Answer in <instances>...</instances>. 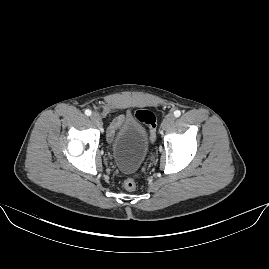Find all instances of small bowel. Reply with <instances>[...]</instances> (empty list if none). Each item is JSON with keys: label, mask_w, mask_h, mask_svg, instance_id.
Listing matches in <instances>:
<instances>
[{"label": "small bowel", "mask_w": 269, "mask_h": 269, "mask_svg": "<svg viewBox=\"0 0 269 269\" xmlns=\"http://www.w3.org/2000/svg\"><path fill=\"white\" fill-rule=\"evenodd\" d=\"M124 120L123 116H119L117 117L111 124L110 128H109V134L112 136L116 130L119 128V126L122 124Z\"/></svg>", "instance_id": "small-bowel-1"}]
</instances>
